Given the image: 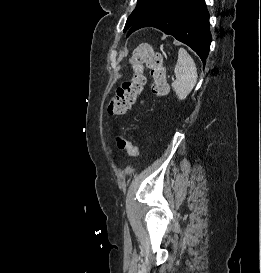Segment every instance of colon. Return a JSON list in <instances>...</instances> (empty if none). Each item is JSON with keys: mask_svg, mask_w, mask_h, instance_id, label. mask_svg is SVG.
I'll return each mask as SVG.
<instances>
[{"mask_svg": "<svg viewBox=\"0 0 261 273\" xmlns=\"http://www.w3.org/2000/svg\"><path fill=\"white\" fill-rule=\"evenodd\" d=\"M129 65L132 70L131 77L117 88L116 94L109 101L107 110L111 116L125 114L131 108L137 96L142 93L146 84L145 68L150 71L153 79L151 87L153 95L163 97L167 93L163 56L154 50L150 44L138 45L129 59ZM116 144L120 150L126 151L132 157L139 155V148L126 138L117 136Z\"/></svg>", "mask_w": 261, "mask_h": 273, "instance_id": "colon-1", "label": "colon"}]
</instances>
